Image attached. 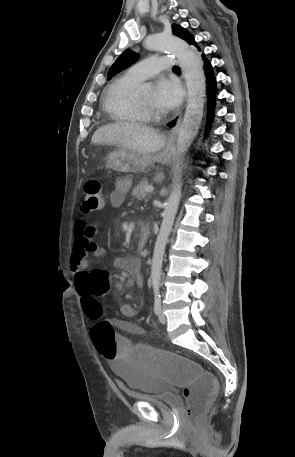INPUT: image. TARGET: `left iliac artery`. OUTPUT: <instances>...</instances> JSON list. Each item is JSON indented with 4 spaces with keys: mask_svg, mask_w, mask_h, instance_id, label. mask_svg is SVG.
Listing matches in <instances>:
<instances>
[{
    "mask_svg": "<svg viewBox=\"0 0 295 457\" xmlns=\"http://www.w3.org/2000/svg\"><path fill=\"white\" fill-rule=\"evenodd\" d=\"M161 311V297L159 294L154 295V312L158 314Z\"/></svg>",
    "mask_w": 295,
    "mask_h": 457,
    "instance_id": "left-iliac-artery-1",
    "label": "left iliac artery"
}]
</instances>
